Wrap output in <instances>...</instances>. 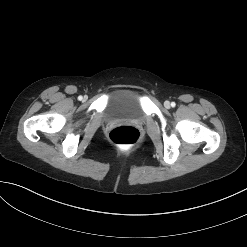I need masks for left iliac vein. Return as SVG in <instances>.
Masks as SVG:
<instances>
[{
  "label": "left iliac vein",
  "mask_w": 247,
  "mask_h": 247,
  "mask_svg": "<svg viewBox=\"0 0 247 247\" xmlns=\"http://www.w3.org/2000/svg\"><path fill=\"white\" fill-rule=\"evenodd\" d=\"M164 106H165V108H170L171 104L169 101H165Z\"/></svg>",
  "instance_id": "left-iliac-vein-1"
}]
</instances>
